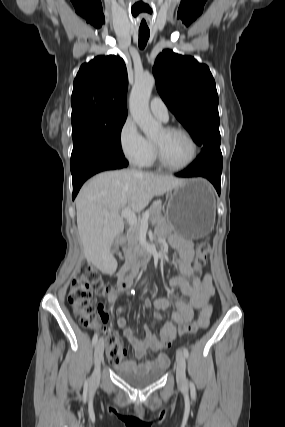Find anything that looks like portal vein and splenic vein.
Returning a JSON list of instances; mask_svg holds the SVG:
<instances>
[{"label": "portal vein and splenic vein", "instance_id": "1", "mask_svg": "<svg viewBox=\"0 0 285 427\" xmlns=\"http://www.w3.org/2000/svg\"><path fill=\"white\" fill-rule=\"evenodd\" d=\"M121 216L126 218L130 226L136 225L138 222L140 223L141 231H146L148 229V218L149 212H146L141 219H137L136 213L131 210L130 207H125L121 211Z\"/></svg>", "mask_w": 285, "mask_h": 427}]
</instances>
